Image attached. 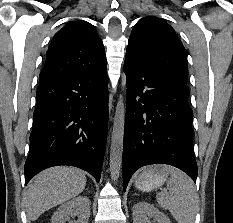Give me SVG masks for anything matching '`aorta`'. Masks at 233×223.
Wrapping results in <instances>:
<instances>
[{
  "label": "aorta",
  "instance_id": "obj_1",
  "mask_svg": "<svg viewBox=\"0 0 233 223\" xmlns=\"http://www.w3.org/2000/svg\"><path fill=\"white\" fill-rule=\"evenodd\" d=\"M125 125V104L123 96H119L117 102L113 129L111 133V147H110V173L113 179H118L120 175L122 153H123V137Z\"/></svg>",
  "mask_w": 233,
  "mask_h": 223
}]
</instances>
